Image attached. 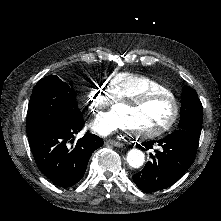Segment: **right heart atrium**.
<instances>
[{"instance_id":"d8ad5b80","label":"right heart atrium","mask_w":221,"mask_h":221,"mask_svg":"<svg viewBox=\"0 0 221 221\" xmlns=\"http://www.w3.org/2000/svg\"><path fill=\"white\" fill-rule=\"evenodd\" d=\"M110 83L111 80L107 76L98 79L96 87L92 89L89 96L88 107L90 110H101L105 105L110 103L114 91Z\"/></svg>"}]
</instances>
